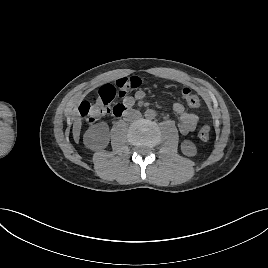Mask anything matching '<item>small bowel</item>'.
<instances>
[{"instance_id": "obj_1", "label": "small bowel", "mask_w": 268, "mask_h": 268, "mask_svg": "<svg viewBox=\"0 0 268 268\" xmlns=\"http://www.w3.org/2000/svg\"><path fill=\"white\" fill-rule=\"evenodd\" d=\"M146 96L144 90H138L133 96H126L123 99V105L131 107L136 100H143ZM174 115L177 117V126L181 134L187 135L193 132L199 124V117L194 113L186 111V108L181 103H175L172 107Z\"/></svg>"}]
</instances>
